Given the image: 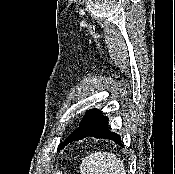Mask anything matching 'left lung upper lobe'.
<instances>
[{
  "label": "left lung upper lobe",
  "instance_id": "5c2ea615",
  "mask_svg": "<svg viewBox=\"0 0 175 174\" xmlns=\"http://www.w3.org/2000/svg\"><path fill=\"white\" fill-rule=\"evenodd\" d=\"M62 148V143L59 145V149Z\"/></svg>",
  "mask_w": 175,
  "mask_h": 174
}]
</instances>
